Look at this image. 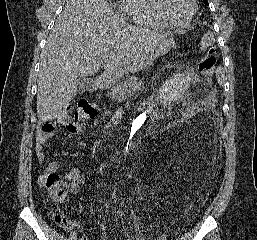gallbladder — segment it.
<instances>
[{
	"label": "gallbladder",
	"mask_w": 257,
	"mask_h": 240,
	"mask_svg": "<svg viewBox=\"0 0 257 240\" xmlns=\"http://www.w3.org/2000/svg\"><path fill=\"white\" fill-rule=\"evenodd\" d=\"M89 81L85 78L78 79V93L82 94L88 88Z\"/></svg>",
	"instance_id": "1"
}]
</instances>
